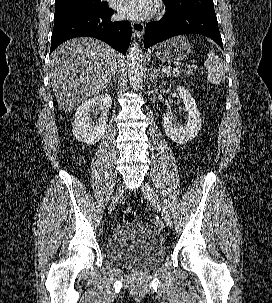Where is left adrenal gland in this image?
Returning <instances> with one entry per match:
<instances>
[{"instance_id": "left-adrenal-gland-1", "label": "left adrenal gland", "mask_w": 272, "mask_h": 303, "mask_svg": "<svg viewBox=\"0 0 272 303\" xmlns=\"http://www.w3.org/2000/svg\"><path fill=\"white\" fill-rule=\"evenodd\" d=\"M151 77H152L153 79H156L157 77L164 78L163 75H160V76H159V74L157 73V71H156L155 69H152V70H151Z\"/></svg>"}]
</instances>
